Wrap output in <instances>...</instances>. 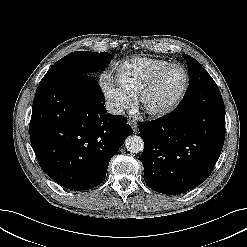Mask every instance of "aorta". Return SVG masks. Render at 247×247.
I'll return each instance as SVG.
<instances>
[{
	"mask_svg": "<svg viewBox=\"0 0 247 247\" xmlns=\"http://www.w3.org/2000/svg\"><path fill=\"white\" fill-rule=\"evenodd\" d=\"M125 147L131 153H139L144 148L143 139L137 135H131L125 140Z\"/></svg>",
	"mask_w": 247,
	"mask_h": 247,
	"instance_id": "aorta-1",
	"label": "aorta"
}]
</instances>
